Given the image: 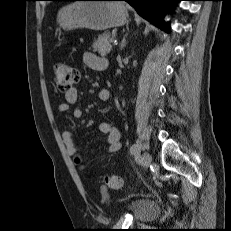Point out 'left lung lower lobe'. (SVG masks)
Segmentation results:
<instances>
[{
    "instance_id": "obj_1",
    "label": "left lung lower lobe",
    "mask_w": 231,
    "mask_h": 231,
    "mask_svg": "<svg viewBox=\"0 0 231 231\" xmlns=\"http://www.w3.org/2000/svg\"><path fill=\"white\" fill-rule=\"evenodd\" d=\"M54 1H74V0H54ZM126 1L139 15L150 21L152 24L168 32V27L163 20L167 11L171 10L173 3L181 0H121Z\"/></svg>"
}]
</instances>
